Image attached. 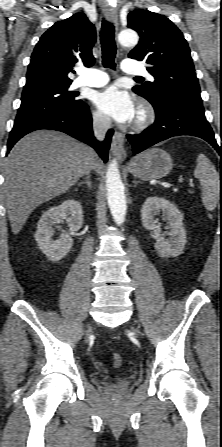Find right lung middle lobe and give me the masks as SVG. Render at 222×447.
<instances>
[{
	"label": "right lung middle lobe",
	"instance_id": "right-lung-middle-lobe-1",
	"mask_svg": "<svg viewBox=\"0 0 222 447\" xmlns=\"http://www.w3.org/2000/svg\"><path fill=\"white\" fill-rule=\"evenodd\" d=\"M69 86H55L23 91L21 106L16 119H23L44 114L48 111L78 104L82 100L75 99Z\"/></svg>",
	"mask_w": 222,
	"mask_h": 447
}]
</instances>
